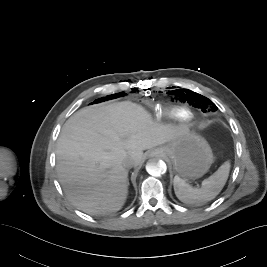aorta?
<instances>
[{"instance_id":"762f6f07","label":"aorta","mask_w":267,"mask_h":267,"mask_svg":"<svg viewBox=\"0 0 267 267\" xmlns=\"http://www.w3.org/2000/svg\"><path fill=\"white\" fill-rule=\"evenodd\" d=\"M167 166L164 161L153 158L150 159L146 164V171L155 177H158L166 172Z\"/></svg>"}]
</instances>
